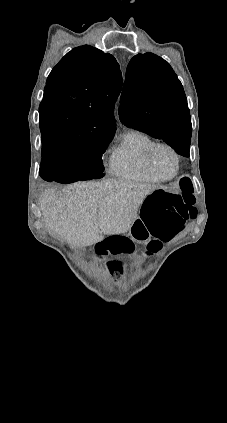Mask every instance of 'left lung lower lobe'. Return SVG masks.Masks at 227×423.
<instances>
[{
    "instance_id": "left-lung-lower-lobe-1",
    "label": "left lung lower lobe",
    "mask_w": 227,
    "mask_h": 423,
    "mask_svg": "<svg viewBox=\"0 0 227 423\" xmlns=\"http://www.w3.org/2000/svg\"><path fill=\"white\" fill-rule=\"evenodd\" d=\"M172 148L180 155L185 156V157H189V148H190V143L181 141L178 142L175 146H172Z\"/></svg>"
}]
</instances>
